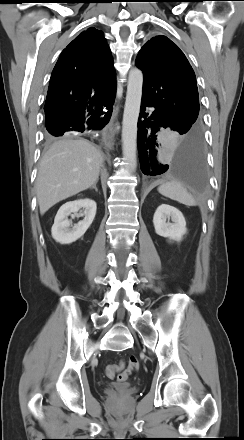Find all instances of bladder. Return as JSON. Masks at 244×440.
<instances>
[{"mask_svg": "<svg viewBox=\"0 0 244 440\" xmlns=\"http://www.w3.org/2000/svg\"><path fill=\"white\" fill-rule=\"evenodd\" d=\"M112 388L114 390H116L117 392H125L129 388V386L125 385V384H123V385H112Z\"/></svg>", "mask_w": 244, "mask_h": 440, "instance_id": "1", "label": "bladder"}]
</instances>
